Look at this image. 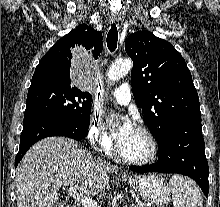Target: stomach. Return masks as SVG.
Returning <instances> with one entry per match:
<instances>
[{"instance_id": "stomach-1", "label": "stomach", "mask_w": 220, "mask_h": 207, "mask_svg": "<svg viewBox=\"0 0 220 207\" xmlns=\"http://www.w3.org/2000/svg\"><path fill=\"white\" fill-rule=\"evenodd\" d=\"M122 179L148 202L164 205L170 201V186L158 174L136 176L123 175Z\"/></svg>"}]
</instances>
